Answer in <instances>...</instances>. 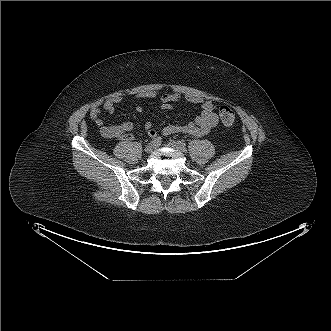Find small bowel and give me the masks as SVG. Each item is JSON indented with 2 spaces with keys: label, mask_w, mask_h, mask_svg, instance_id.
<instances>
[{
  "label": "small bowel",
  "mask_w": 331,
  "mask_h": 331,
  "mask_svg": "<svg viewBox=\"0 0 331 331\" xmlns=\"http://www.w3.org/2000/svg\"><path fill=\"white\" fill-rule=\"evenodd\" d=\"M157 97V93L155 91H143L134 96L135 100L142 99H153ZM181 95L176 92L164 93L159 96L160 107L164 110H170L173 108V104L179 102L181 100ZM184 99L191 104L200 105L201 112L197 116H195L194 120L184 124H169L162 128L161 133L163 135H171V134H188L195 137H202L207 135L212 131V129L218 124V117L215 112L216 106L215 104L204 98L193 96V95H185ZM122 101V97L119 95L107 98L105 100L99 101L93 105L90 117L93 120L94 124L100 127L101 134L106 138H119L123 140H133L134 136L131 134L134 129V124L130 121L122 122L119 125L106 126L104 125V121L101 118V110L103 109L109 115H112L115 110V106ZM137 113H144V108L141 105H137L135 107ZM144 128L146 133L150 137L157 138L158 131L154 128L152 122L147 120L144 124Z\"/></svg>",
  "instance_id": "small-bowel-1"
}]
</instances>
